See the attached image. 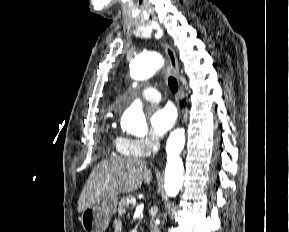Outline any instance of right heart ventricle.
I'll list each match as a JSON object with an SVG mask.
<instances>
[{"mask_svg": "<svg viewBox=\"0 0 289 232\" xmlns=\"http://www.w3.org/2000/svg\"><path fill=\"white\" fill-rule=\"evenodd\" d=\"M112 143H113L114 147L117 149L118 152H120L123 155H129L126 152H124L123 149H122L123 137L114 135L112 137Z\"/></svg>", "mask_w": 289, "mask_h": 232, "instance_id": "e07e8e85", "label": "right heart ventricle"}]
</instances>
